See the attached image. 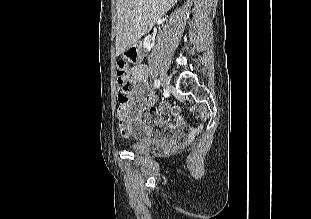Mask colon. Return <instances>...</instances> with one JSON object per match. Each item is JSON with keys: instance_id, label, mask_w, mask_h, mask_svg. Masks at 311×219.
Wrapping results in <instances>:
<instances>
[{"instance_id": "5ec220e1", "label": "colon", "mask_w": 311, "mask_h": 219, "mask_svg": "<svg viewBox=\"0 0 311 219\" xmlns=\"http://www.w3.org/2000/svg\"><path fill=\"white\" fill-rule=\"evenodd\" d=\"M130 49L128 51V55L130 57H133ZM116 79L118 89V102L120 105H126L129 102L133 91L134 72L133 69L130 68L128 63L124 60H119L117 62ZM154 138L157 137L154 136Z\"/></svg>"}]
</instances>
